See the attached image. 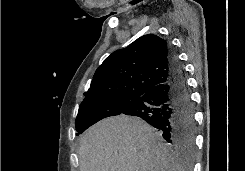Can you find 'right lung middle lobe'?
Segmentation results:
<instances>
[{
    "mask_svg": "<svg viewBox=\"0 0 245 171\" xmlns=\"http://www.w3.org/2000/svg\"><path fill=\"white\" fill-rule=\"evenodd\" d=\"M137 98V95H118L82 102L75 122L77 135L103 118L121 114L123 109Z\"/></svg>",
    "mask_w": 245,
    "mask_h": 171,
    "instance_id": "obj_1",
    "label": "right lung middle lobe"
}]
</instances>
